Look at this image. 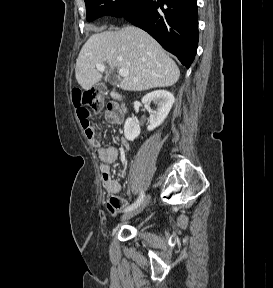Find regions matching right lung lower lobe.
<instances>
[{"label":"right lung lower lobe","instance_id":"98d812e1","mask_svg":"<svg viewBox=\"0 0 273 288\" xmlns=\"http://www.w3.org/2000/svg\"><path fill=\"white\" fill-rule=\"evenodd\" d=\"M124 17L147 31L187 68L198 45L196 0H137Z\"/></svg>","mask_w":273,"mask_h":288}]
</instances>
